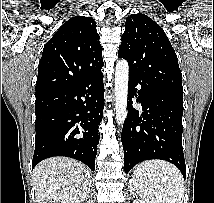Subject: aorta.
I'll list each match as a JSON object with an SVG mask.
<instances>
[{
	"instance_id": "obj_1",
	"label": "aorta",
	"mask_w": 214,
	"mask_h": 203,
	"mask_svg": "<svg viewBox=\"0 0 214 203\" xmlns=\"http://www.w3.org/2000/svg\"><path fill=\"white\" fill-rule=\"evenodd\" d=\"M128 77V62L121 59L115 67V111L119 126L124 124L127 117Z\"/></svg>"
}]
</instances>
